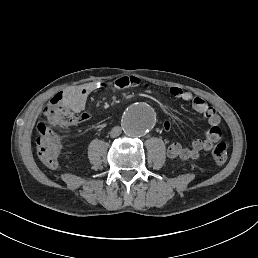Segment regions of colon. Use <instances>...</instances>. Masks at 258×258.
Segmentation results:
<instances>
[{
    "instance_id": "colon-1",
    "label": "colon",
    "mask_w": 258,
    "mask_h": 258,
    "mask_svg": "<svg viewBox=\"0 0 258 258\" xmlns=\"http://www.w3.org/2000/svg\"><path fill=\"white\" fill-rule=\"evenodd\" d=\"M53 120L40 122L37 125L38 138L36 141L38 155L48 164H57L60 154V130L71 129L85 121L84 114L75 115L65 109H52ZM212 156L217 165L225 164L227 160V146L224 142L215 144Z\"/></svg>"
}]
</instances>
